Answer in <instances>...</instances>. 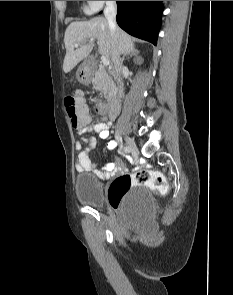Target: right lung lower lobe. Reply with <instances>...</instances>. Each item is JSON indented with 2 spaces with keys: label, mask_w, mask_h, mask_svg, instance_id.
Masks as SVG:
<instances>
[{
  "label": "right lung lower lobe",
  "mask_w": 233,
  "mask_h": 295,
  "mask_svg": "<svg viewBox=\"0 0 233 295\" xmlns=\"http://www.w3.org/2000/svg\"><path fill=\"white\" fill-rule=\"evenodd\" d=\"M118 25L154 45L161 25L162 1H116Z\"/></svg>",
  "instance_id": "right-lung-lower-lobe-1"
}]
</instances>
